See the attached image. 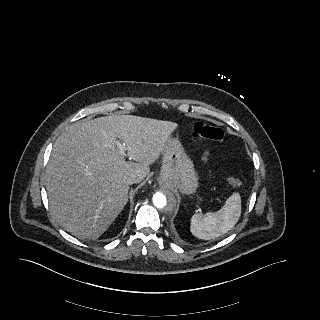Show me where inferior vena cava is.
Segmentation results:
<instances>
[{"mask_svg":"<svg viewBox=\"0 0 320 320\" xmlns=\"http://www.w3.org/2000/svg\"><path fill=\"white\" fill-rule=\"evenodd\" d=\"M127 182H128V184H133V183H135L136 181H135V178H134V177H129V178L127 179Z\"/></svg>","mask_w":320,"mask_h":320,"instance_id":"inferior-vena-cava-1","label":"inferior vena cava"}]
</instances>
